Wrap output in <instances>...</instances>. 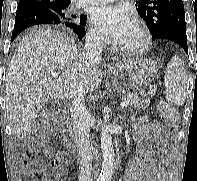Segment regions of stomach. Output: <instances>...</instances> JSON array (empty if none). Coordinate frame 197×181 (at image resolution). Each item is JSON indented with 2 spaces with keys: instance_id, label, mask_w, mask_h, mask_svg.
Here are the masks:
<instances>
[{
  "instance_id": "stomach-1",
  "label": "stomach",
  "mask_w": 197,
  "mask_h": 181,
  "mask_svg": "<svg viewBox=\"0 0 197 181\" xmlns=\"http://www.w3.org/2000/svg\"><path fill=\"white\" fill-rule=\"evenodd\" d=\"M128 66L124 69L125 72H119L118 68L112 70L116 75L121 73L127 76L136 86H146L155 78L158 67L151 59H133L127 62Z\"/></svg>"
}]
</instances>
